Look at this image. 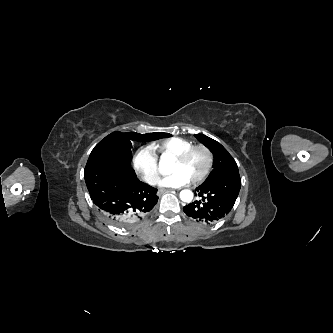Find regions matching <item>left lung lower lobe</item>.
Wrapping results in <instances>:
<instances>
[{"instance_id":"1","label":"left lung lower lobe","mask_w":333,"mask_h":333,"mask_svg":"<svg viewBox=\"0 0 333 333\" xmlns=\"http://www.w3.org/2000/svg\"><path fill=\"white\" fill-rule=\"evenodd\" d=\"M241 187L239 174L218 178L208 184H201L195 194L202 201H194L183 207L187 216L206 224H213L229 214Z\"/></svg>"}]
</instances>
